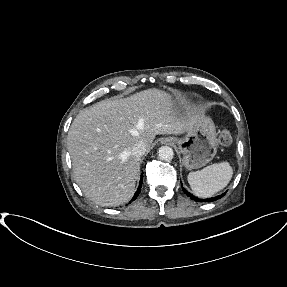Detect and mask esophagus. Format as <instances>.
Wrapping results in <instances>:
<instances>
[{"mask_svg": "<svg viewBox=\"0 0 287 287\" xmlns=\"http://www.w3.org/2000/svg\"><path fill=\"white\" fill-rule=\"evenodd\" d=\"M164 143L168 144V145H173L174 144V141L171 139V138H166L164 140Z\"/></svg>", "mask_w": 287, "mask_h": 287, "instance_id": "1", "label": "esophagus"}]
</instances>
